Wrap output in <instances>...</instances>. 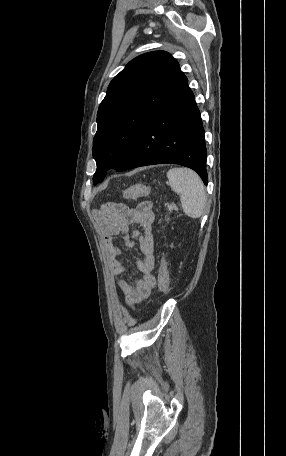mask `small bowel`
<instances>
[{"mask_svg": "<svg viewBox=\"0 0 286 456\" xmlns=\"http://www.w3.org/2000/svg\"><path fill=\"white\" fill-rule=\"evenodd\" d=\"M94 219L103 233V245L108 269L112 274H123L125 269L119 260L121 251L115 238L126 231L129 226L137 225L144 230L140 238V250L143 258L137 263L141 278L136 281L121 279L118 287L128 305H134L147 298L155 285L156 279L152 274L154 258V240L152 229L156 215L150 202H141L135 207L111 203V208L94 212Z\"/></svg>", "mask_w": 286, "mask_h": 456, "instance_id": "1", "label": "small bowel"}]
</instances>
